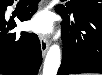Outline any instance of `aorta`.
Listing matches in <instances>:
<instances>
[{
    "label": "aorta",
    "mask_w": 102,
    "mask_h": 75,
    "mask_svg": "<svg viewBox=\"0 0 102 75\" xmlns=\"http://www.w3.org/2000/svg\"><path fill=\"white\" fill-rule=\"evenodd\" d=\"M61 62V50L59 45H52L46 55L43 75H56Z\"/></svg>",
    "instance_id": "aorta-1"
}]
</instances>
